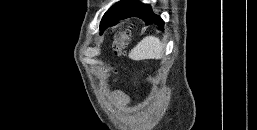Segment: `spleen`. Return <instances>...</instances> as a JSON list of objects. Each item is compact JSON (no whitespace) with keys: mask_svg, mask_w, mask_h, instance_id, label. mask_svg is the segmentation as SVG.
<instances>
[{"mask_svg":"<svg viewBox=\"0 0 257 130\" xmlns=\"http://www.w3.org/2000/svg\"><path fill=\"white\" fill-rule=\"evenodd\" d=\"M164 46L159 38L146 36L129 53V58L135 61L161 59Z\"/></svg>","mask_w":257,"mask_h":130,"instance_id":"1","label":"spleen"}]
</instances>
